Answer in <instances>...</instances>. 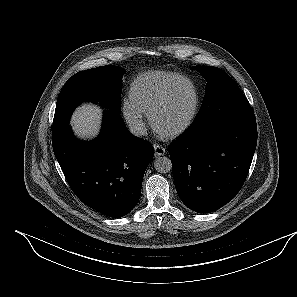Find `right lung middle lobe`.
<instances>
[{
    "label": "right lung middle lobe",
    "instance_id": "obj_1",
    "mask_svg": "<svg viewBox=\"0 0 297 297\" xmlns=\"http://www.w3.org/2000/svg\"><path fill=\"white\" fill-rule=\"evenodd\" d=\"M126 71L114 65L80 71L70 77L56 103L52 140L57 139L69 124L75 107L83 101L99 102L109 110L120 113L122 78Z\"/></svg>",
    "mask_w": 297,
    "mask_h": 297
}]
</instances>
